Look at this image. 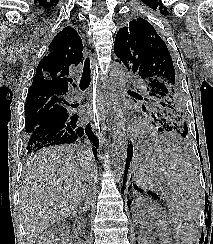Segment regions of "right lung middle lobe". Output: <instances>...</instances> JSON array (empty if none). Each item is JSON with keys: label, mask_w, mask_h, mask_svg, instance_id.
<instances>
[{"label": "right lung middle lobe", "mask_w": 213, "mask_h": 244, "mask_svg": "<svg viewBox=\"0 0 213 244\" xmlns=\"http://www.w3.org/2000/svg\"><path fill=\"white\" fill-rule=\"evenodd\" d=\"M64 96L44 94L30 96L25 104V132L30 135L39 125L45 124L65 114H70Z\"/></svg>", "instance_id": "right-lung-middle-lobe-1"}]
</instances>
